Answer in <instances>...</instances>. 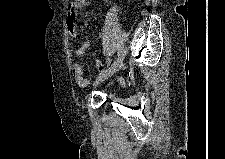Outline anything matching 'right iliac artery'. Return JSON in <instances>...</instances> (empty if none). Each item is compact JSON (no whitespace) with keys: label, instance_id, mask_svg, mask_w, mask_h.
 Listing matches in <instances>:
<instances>
[{"label":"right iliac artery","instance_id":"82829eb1","mask_svg":"<svg viewBox=\"0 0 225 159\" xmlns=\"http://www.w3.org/2000/svg\"><path fill=\"white\" fill-rule=\"evenodd\" d=\"M121 52H122V48H119L118 49V53H117L118 57H119V55H120Z\"/></svg>","mask_w":225,"mask_h":159}]
</instances>
